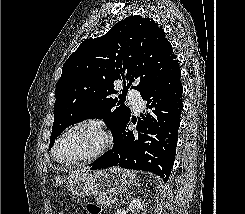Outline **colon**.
<instances>
[{
	"mask_svg": "<svg viewBox=\"0 0 245 214\" xmlns=\"http://www.w3.org/2000/svg\"><path fill=\"white\" fill-rule=\"evenodd\" d=\"M88 211L90 214H98L99 208L96 205L91 204L88 206Z\"/></svg>",
	"mask_w": 245,
	"mask_h": 214,
	"instance_id": "colon-1",
	"label": "colon"
}]
</instances>
